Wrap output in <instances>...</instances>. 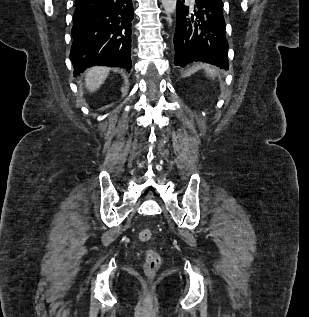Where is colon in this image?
<instances>
[{"instance_id": "obj_1", "label": "colon", "mask_w": 309, "mask_h": 317, "mask_svg": "<svg viewBox=\"0 0 309 317\" xmlns=\"http://www.w3.org/2000/svg\"><path fill=\"white\" fill-rule=\"evenodd\" d=\"M138 238L141 242H149L152 239V232L149 229H142L138 233ZM161 263L160 255L157 251L149 249L146 252V261L144 271L149 278H152L157 273Z\"/></svg>"}]
</instances>
